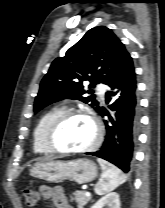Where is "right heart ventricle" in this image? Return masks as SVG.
<instances>
[{"label": "right heart ventricle", "mask_w": 165, "mask_h": 208, "mask_svg": "<svg viewBox=\"0 0 165 208\" xmlns=\"http://www.w3.org/2000/svg\"><path fill=\"white\" fill-rule=\"evenodd\" d=\"M65 111V107L56 106L46 111L38 120L33 131V150L37 154L53 153L45 142V133L52 121Z\"/></svg>", "instance_id": "1"}]
</instances>
